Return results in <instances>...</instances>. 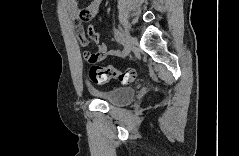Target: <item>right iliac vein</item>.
<instances>
[{"label":"right iliac vein","mask_w":239,"mask_h":156,"mask_svg":"<svg viewBox=\"0 0 239 156\" xmlns=\"http://www.w3.org/2000/svg\"><path fill=\"white\" fill-rule=\"evenodd\" d=\"M123 37L125 39L124 57H126L131 52V49H132L133 44H134V39L132 38L130 33L127 31V29H124V31H123Z\"/></svg>","instance_id":"63e3f726"}]
</instances>
